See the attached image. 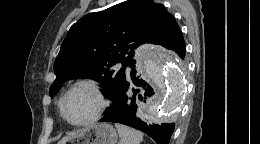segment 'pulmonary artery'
Listing matches in <instances>:
<instances>
[{"instance_id": "obj_1", "label": "pulmonary artery", "mask_w": 260, "mask_h": 144, "mask_svg": "<svg viewBox=\"0 0 260 144\" xmlns=\"http://www.w3.org/2000/svg\"><path fill=\"white\" fill-rule=\"evenodd\" d=\"M120 66H121V64L119 63V64H118V67H120Z\"/></svg>"}]
</instances>
